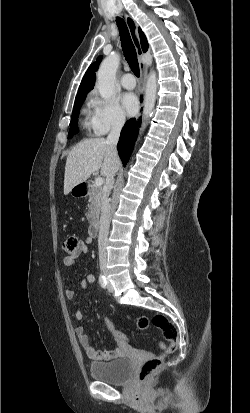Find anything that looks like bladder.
I'll list each match as a JSON object with an SVG mask.
<instances>
[{
  "label": "bladder",
  "mask_w": 250,
  "mask_h": 413,
  "mask_svg": "<svg viewBox=\"0 0 250 413\" xmlns=\"http://www.w3.org/2000/svg\"><path fill=\"white\" fill-rule=\"evenodd\" d=\"M133 366L130 357L121 356L111 361L91 363L89 371L95 380L108 384H122L129 379Z\"/></svg>",
  "instance_id": "31cf9c89"
}]
</instances>
